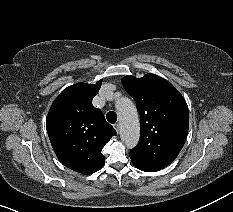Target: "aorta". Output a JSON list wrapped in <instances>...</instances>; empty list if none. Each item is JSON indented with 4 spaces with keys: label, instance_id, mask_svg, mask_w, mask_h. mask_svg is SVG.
<instances>
[{
    "label": "aorta",
    "instance_id": "762f6f07",
    "mask_svg": "<svg viewBox=\"0 0 233 212\" xmlns=\"http://www.w3.org/2000/svg\"><path fill=\"white\" fill-rule=\"evenodd\" d=\"M119 123L120 137L127 148H133L139 140L140 123L134 103L126 97H120L115 103Z\"/></svg>",
    "mask_w": 233,
    "mask_h": 212
}]
</instances>
